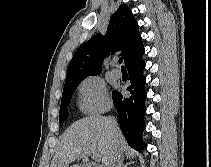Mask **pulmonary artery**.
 I'll use <instances>...</instances> for the list:
<instances>
[{
    "mask_svg": "<svg viewBox=\"0 0 211 167\" xmlns=\"http://www.w3.org/2000/svg\"><path fill=\"white\" fill-rule=\"evenodd\" d=\"M112 74L116 77V78H120L121 77V71L117 68V67H114L112 69Z\"/></svg>",
    "mask_w": 211,
    "mask_h": 167,
    "instance_id": "obj_1",
    "label": "pulmonary artery"
}]
</instances>
